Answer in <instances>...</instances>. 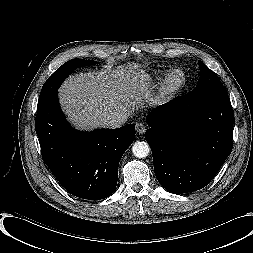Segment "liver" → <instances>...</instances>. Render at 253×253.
<instances>
[{"label": "liver", "mask_w": 253, "mask_h": 253, "mask_svg": "<svg viewBox=\"0 0 253 253\" xmlns=\"http://www.w3.org/2000/svg\"><path fill=\"white\" fill-rule=\"evenodd\" d=\"M138 67L121 65L66 79L59 88V99L70 123L81 130L107 127L110 117H128L152 102L151 78Z\"/></svg>", "instance_id": "1"}]
</instances>
